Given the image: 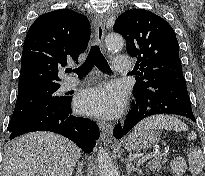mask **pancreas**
Segmentation results:
<instances>
[{"label":"pancreas","instance_id":"cf45deb5","mask_svg":"<svg viewBox=\"0 0 205 176\" xmlns=\"http://www.w3.org/2000/svg\"><path fill=\"white\" fill-rule=\"evenodd\" d=\"M166 162V158L161 155H156L150 159V161L147 163V167L149 170H151L153 173L159 171L162 168V165Z\"/></svg>","mask_w":205,"mask_h":176}]
</instances>
